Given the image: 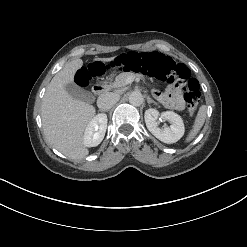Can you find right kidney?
Wrapping results in <instances>:
<instances>
[{"instance_id":"ca27d5eb","label":"right kidney","mask_w":247,"mask_h":247,"mask_svg":"<svg viewBox=\"0 0 247 247\" xmlns=\"http://www.w3.org/2000/svg\"><path fill=\"white\" fill-rule=\"evenodd\" d=\"M107 129V116L105 114H98L88 123L83 136V142L86 147L98 146Z\"/></svg>"}]
</instances>
